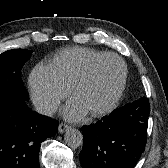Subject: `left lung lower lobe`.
Masks as SVG:
<instances>
[{
    "label": "left lung lower lobe",
    "mask_w": 168,
    "mask_h": 168,
    "mask_svg": "<svg viewBox=\"0 0 168 168\" xmlns=\"http://www.w3.org/2000/svg\"><path fill=\"white\" fill-rule=\"evenodd\" d=\"M149 102L134 101L83 126L82 168H134L147 140Z\"/></svg>",
    "instance_id": "0a47b994"
}]
</instances>
